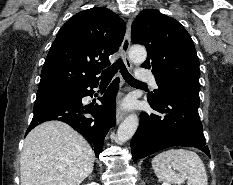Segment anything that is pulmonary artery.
<instances>
[{
	"instance_id": "1",
	"label": "pulmonary artery",
	"mask_w": 233,
	"mask_h": 185,
	"mask_svg": "<svg viewBox=\"0 0 233 185\" xmlns=\"http://www.w3.org/2000/svg\"><path fill=\"white\" fill-rule=\"evenodd\" d=\"M137 77L140 81L148 82L153 87H157V83H156L154 76L151 73H149L148 71H146L144 69H139L137 72Z\"/></svg>"
}]
</instances>
